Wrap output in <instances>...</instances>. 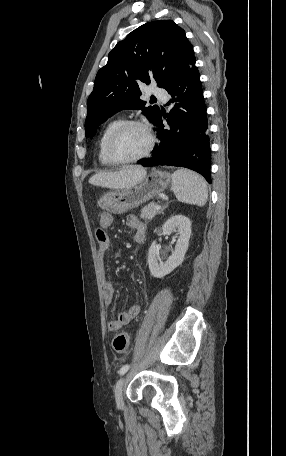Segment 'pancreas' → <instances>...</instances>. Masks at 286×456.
<instances>
[{"instance_id": "obj_1", "label": "pancreas", "mask_w": 286, "mask_h": 456, "mask_svg": "<svg viewBox=\"0 0 286 456\" xmlns=\"http://www.w3.org/2000/svg\"><path fill=\"white\" fill-rule=\"evenodd\" d=\"M156 205H157L156 203L151 202L148 205H146L145 207H143L141 210L140 217L145 220L153 219L158 213V210L155 209Z\"/></svg>"}]
</instances>
